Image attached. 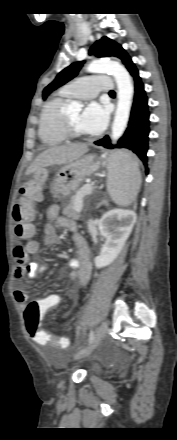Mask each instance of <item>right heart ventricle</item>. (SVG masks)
<instances>
[{"label": "right heart ventricle", "instance_id": "right-heart-ventricle-1", "mask_svg": "<svg viewBox=\"0 0 177 440\" xmlns=\"http://www.w3.org/2000/svg\"><path fill=\"white\" fill-rule=\"evenodd\" d=\"M71 97L72 95L62 88L45 103L38 125V135L43 145L52 147L66 142L62 115L64 106Z\"/></svg>", "mask_w": 177, "mask_h": 440}]
</instances>
